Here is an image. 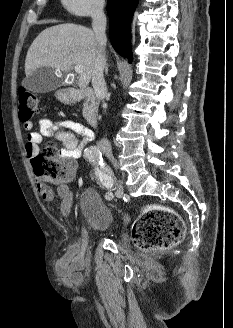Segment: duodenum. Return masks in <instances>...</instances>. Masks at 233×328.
<instances>
[{
    "label": "duodenum",
    "instance_id": "1",
    "mask_svg": "<svg viewBox=\"0 0 233 328\" xmlns=\"http://www.w3.org/2000/svg\"><path fill=\"white\" fill-rule=\"evenodd\" d=\"M62 97L67 102L83 101V117L91 126L95 127L97 125L98 114L96 97L92 89H65L62 93Z\"/></svg>",
    "mask_w": 233,
    "mask_h": 328
}]
</instances>
